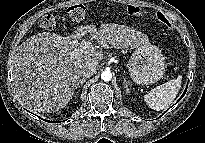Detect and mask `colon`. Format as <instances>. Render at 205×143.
I'll return each mask as SVG.
<instances>
[{
  "label": "colon",
  "mask_w": 205,
  "mask_h": 143,
  "mask_svg": "<svg viewBox=\"0 0 205 143\" xmlns=\"http://www.w3.org/2000/svg\"><path fill=\"white\" fill-rule=\"evenodd\" d=\"M125 11L130 16H140L142 14V9L135 5H126ZM67 13L72 20L80 21L85 17L86 9L83 4H74L67 9ZM157 19L166 26L171 25L162 13H157ZM40 26L46 30L54 29L56 26L55 17L51 14L43 16L40 20Z\"/></svg>",
  "instance_id": "colon-1"
}]
</instances>
